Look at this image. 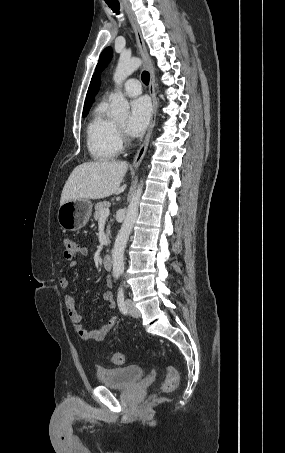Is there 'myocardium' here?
Wrapping results in <instances>:
<instances>
[{"label":"myocardium","mask_w":285,"mask_h":453,"mask_svg":"<svg viewBox=\"0 0 285 453\" xmlns=\"http://www.w3.org/2000/svg\"><path fill=\"white\" fill-rule=\"evenodd\" d=\"M118 129H119V132H121L123 128L121 125H118Z\"/></svg>","instance_id":"obj_1"}]
</instances>
